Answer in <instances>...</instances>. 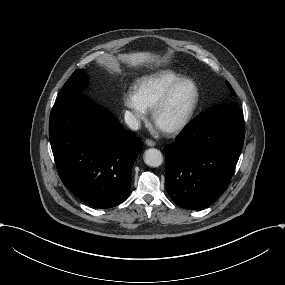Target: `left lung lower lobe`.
Wrapping results in <instances>:
<instances>
[{
  "label": "left lung lower lobe",
  "mask_w": 285,
  "mask_h": 285,
  "mask_svg": "<svg viewBox=\"0 0 285 285\" xmlns=\"http://www.w3.org/2000/svg\"><path fill=\"white\" fill-rule=\"evenodd\" d=\"M245 124L237 103L214 106L166 146V186L180 207L199 210L228 187L244 143Z\"/></svg>",
  "instance_id": "1"
}]
</instances>
